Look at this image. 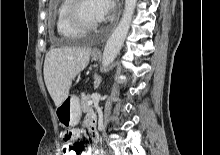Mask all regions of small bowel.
Masks as SVG:
<instances>
[{
    "mask_svg": "<svg viewBox=\"0 0 220 155\" xmlns=\"http://www.w3.org/2000/svg\"><path fill=\"white\" fill-rule=\"evenodd\" d=\"M93 122H96V117L93 113H89L85 119V124L90 128V125ZM78 136H79V131L75 129V126H64V130H62L63 141H77ZM82 155H90V151L84 149Z\"/></svg>",
    "mask_w": 220,
    "mask_h": 155,
    "instance_id": "small-bowel-1",
    "label": "small bowel"
}]
</instances>
